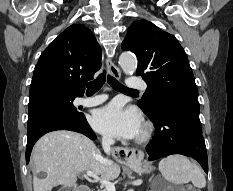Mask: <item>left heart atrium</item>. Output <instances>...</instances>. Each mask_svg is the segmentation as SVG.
I'll list each match as a JSON object with an SVG mask.
<instances>
[{"mask_svg": "<svg viewBox=\"0 0 233 191\" xmlns=\"http://www.w3.org/2000/svg\"><path fill=\"white\" fill-rule=\"evenodd\" d=\"M91 122L98 132L118 139H133L142 129L140 114L134 109L125 108L119 102H112L96 110Z\"/></svg>", "mask_w": 233, "mask_h": 191, "instance_id": "obj_1", "label": "left heart atrium"}]
</instances>
